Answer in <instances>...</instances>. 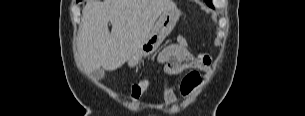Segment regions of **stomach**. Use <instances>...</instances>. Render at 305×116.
<instances>
[{"instance_id":"stomach-1","label":"stomach","mask_w":305,"mask_h":116,"mask_svg":"<svg viewBox=\"0 0 305 116\" xmlns=\"http://www.w3.org/2000/svg\"><path fill=\"white\" fill-rule=\"evenodd\" d=\"M180 15L181 12L177 8L163 12L145 41L128 60V65L135 67L141 62L142 58L154 53L163 40L172 32Z\"/></svg>"}]
</instances>
